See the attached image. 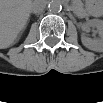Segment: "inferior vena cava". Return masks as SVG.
<instances>
[{"label":"inferior vena cava","instance_id":"1","mask_svg":"<svg viewBox=\"0 0 103 103\" xmlns=\"http://www.w3.org/2000/svg\"><path fill=\"white\" fill-rule=\"evenodd\" d=\"M46 7V2L43 0H36L32 4V11L34 13H41L44 11Z\"/></svg>","mask_w":103,"mask_h":103}]
</instances>
